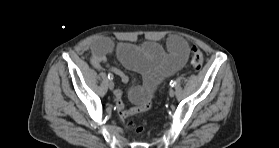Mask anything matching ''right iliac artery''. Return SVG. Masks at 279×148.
<instances>
[{
  "instance_id": "obj_1",
  "label": "right iliac artery",
  "mask_w": 279,
  "mask_h": 148,
  "mask_svg": "<svg viewBox=\"0 0 279 148\" xmlns=\"http://www.w3.org/2000/svg\"><path fill=\"white\" fill-rule=\"evenodd\" d=\"M108 79L112 80L113 79V75L112 74H108Z\"/></svg>"
}]
</instances>
